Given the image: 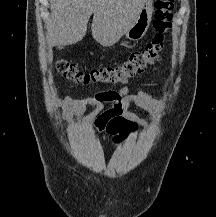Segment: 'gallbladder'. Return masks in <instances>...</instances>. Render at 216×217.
I'll use <instances>...</instances> for the list:
<instances>
[{
  "mask_svg": "<svg viewBox=\"0 0 216 217\" xmlns=\"http://www.w3.org/2000/svg\"><path fill=\"white\" fill-rule=\"evenodd\" d=\"M56 46L58 49H62L64 47V45H62V44H57Z\"/></svg>",
  "mask_w": 216,
  "mask_h": 217,
  "instance_id": "1",
  "label": "gallbladder"
}]
</instances>
